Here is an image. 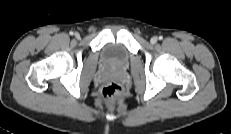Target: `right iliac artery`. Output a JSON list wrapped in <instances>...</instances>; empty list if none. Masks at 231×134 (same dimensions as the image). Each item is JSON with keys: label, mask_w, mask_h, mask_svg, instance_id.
<instances>
[{"label": "right iliac artery", "mask_w": 231, "mask_h": 134, "mask_svg": "<svg viewBox=\"0 0 231 134\" xmlns=\"http://www.w3.org/2000/svg\"><path fill=\"white\" fill-rule=\"evenodd\" d=\"M73 34H74V32L71 31V32H70V35H73Z\"/></svg>", "instance_id": "1"}]
</instances>
